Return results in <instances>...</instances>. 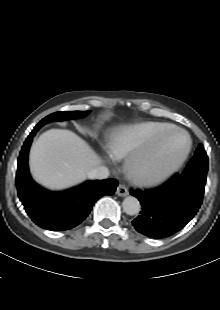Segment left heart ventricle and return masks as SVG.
<instances>
[{"label": "left heart ventricle", "instance_id": "b2bd125f", "mask_svg": "<svg viewBox=\"0 0 220 310\" xmlns=\"http://www.w3.org/2000/svg\"><path fill=\"white\" fill-rule=\"evenodd\" d=\"M186 145V137L178 132H172L165 137L155 151L145 162V170L157 174L170 167L181 155Z\"/></svg>", "mask_w": 220, "mask_h": 310}]
</instances>
